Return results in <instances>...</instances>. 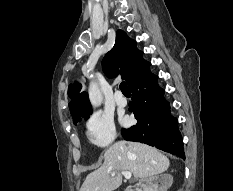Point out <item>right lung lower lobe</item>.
<instances>
[{
  "label": "right lung lower lobe",
  "mask_w": 233,
  "mask_h": 191,
  "mask_svg": "<svg viewBox=\"0 0 233 191\" xmlns=\"http://www.w3.org/2000/svg\"><path fill=\"white\" fill-rule=\"evenodd\" d=\"M150 65L144 61L128 83L133 94L129 110L134 113L137 124L123 129L122 136L185 159L177 119L171 116L169 102L164 99V90L158 86V76L151 73Z\"/></svg>",
  "instance_id": "obj_1"
}]
</instances>
